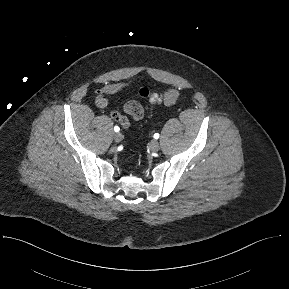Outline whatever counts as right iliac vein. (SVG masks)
<instances>
[{
	"mask_svg": "<svg viewBox=\"0 0 289 289\" xmlns=\"http://www.w3.org/2000/svg\"><path fill=\"white\" fill-rule=\"evenodd\" d=\"M122 138H123V136H122V134L120 132H117V133L114 134L115 142H117V143L121 142Z\"/></svg>",
	"mask_w": 289,
	"mask_h": 289,
	"instance_id": "63e3f726",
	"label": "right iliac vein"
}]
</instances>
